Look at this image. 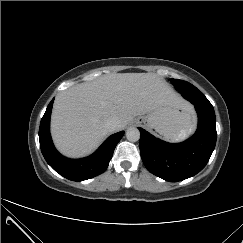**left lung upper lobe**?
I'll return each mask as SVG.
<instances>
[{
    "instance_id": "obj_1",
    "label": "left lung upper lobe",
    "mask_w": 243,
    "mask_h": 243,
    "mask_svg": "<svg viewBox=\"0 0 243 243\" xmlns=\"http://www.w3.org/2000/svg\"><path fill=\"white\" fill-rule=\"evenodd\" d=\"M171 83L174 85L176 89H180L182 87H185L189 83L183 80H178V79H170Z\"/></svg>"
}]
</instances>
